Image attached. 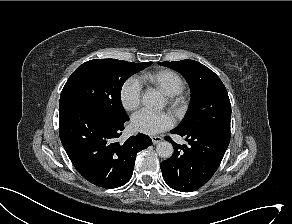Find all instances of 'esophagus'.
I'll return each instance as SVG.
<instances>
[{
	"mask_svg": "<svg viewBox=\"0 0 292 224\" xmlns=\"http://www.w3.org/2000/svg\"><path fill=\"white\" fill-rule=\"evenodd\" d=\"M153 144H158L160 143L163 139L160 136H152L151 137Z\"/></svg>",
	"mask_w": 292,
	"mask_h": 224,
	"instance_id": "1",
	"label": "esophagus"
}]
</instances>
